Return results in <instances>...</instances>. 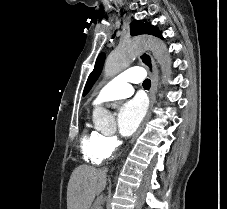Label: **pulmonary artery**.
<instances>
[{
	"label": "pulmonary artery",
	"mask_w": 227,
	"mask_h": 209,
	"mask_svg": "<svg viewBox=\"0 0 227 209\" xmlns=\"http://www.w3.org/2000/svg\"><path fill=\"white\" fill-rule=\"evenodd\" d=\"M138 78V79H132ZM143 78H150V73H144L140 66H132L131 70H124L117 73V78L112 79L98 96L94 99L93 105L98 106L114 98H125L133 94V84H141Z\"/></svg>",
	"instance_id": "pulmonary-artery-1"
}]
</instances>
